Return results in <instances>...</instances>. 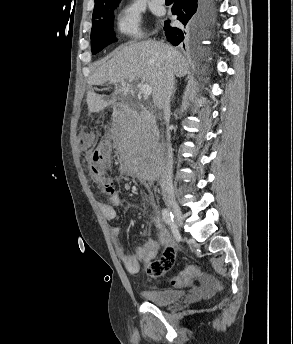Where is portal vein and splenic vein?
<instances>
[{"instance_id":"1","label":"portal vein and splenic vein","mask_w":293,"mask_h":344,"mask_svg":"<svg viewBox=\"0 0 293 344\" xmlns=\"http://www.w3.org/2000/svg\"><path fill=\"white\" fill-rule=\"evenodd\" d=\"M121 85L124 87L127 85V83L123 81V82H121ZM137 88L141 91V93L144 95V97H148L152 93V87L148 84L138 83Z\"/></svg>"}]
</instances>
